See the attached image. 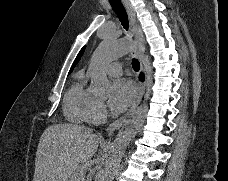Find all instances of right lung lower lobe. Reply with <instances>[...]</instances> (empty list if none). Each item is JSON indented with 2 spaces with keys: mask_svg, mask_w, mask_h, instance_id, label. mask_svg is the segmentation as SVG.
<instances>
[{
  "mask_svg": "<svg viewBox=\"0 0 228 181\" xmlns=\"http://www.w3.org/2000/svg\"><path fill=\"white\" fill-rule=\"evenodd\" d=\"M140 80H141V81L144 80V75H143V74L140 75Z\"/></svg>",
  "mask_w": 228,
  "mask_h": 181,
  "instance_id": "98d812e1",
  "label": "right lung lower lobe"
}]
</instances>
